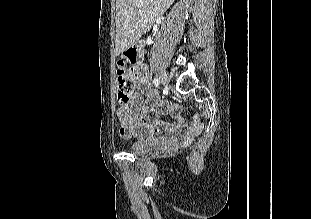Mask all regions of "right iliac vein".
I'll return each instance as SVG.
<instances>
[{
    "instance_id": "1",
    "label": "right iliac vein",
    "mask_w": 311,
    "mask_h": 219,
    "mask_svg": "<svg viewBox=\"0 0 311 219\" xmlns=\"http://www.w3.org/2000/svg\"><path fill=\"white\" fill-rule=\"evenodd\" d=\"M159 78H160V81L163 85H167L168 82H169V77H168V74L166 73V71L164 70H161L160 73H159Z\"/></svg>"
}]
</instances>
